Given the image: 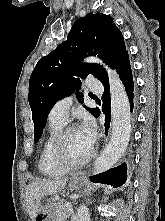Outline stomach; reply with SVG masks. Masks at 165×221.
<instances>
[{
    "label": "stomach",
    "instance_id": "stomach-1",
    "mask_svg": "<svg viewBox=\"0 0 165 221\" xmlns=\"http://www.w3.org/2000/svg\"><path fill=\"white\" fill-rule=\"evenodd\" d=\"M84 181L80 177H73L70 180V187L72 189H78L83 186ZM39 209L38 212H35L34 221H61V218H58L53 209L58 205V200H39Z\"/></svg>",
    "mask_w": 165,
    "mask_h": 221
}]
</instances>
